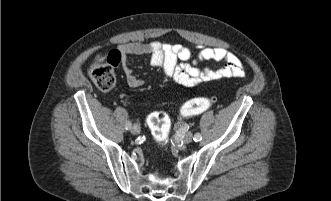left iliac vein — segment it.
Masks as SVG:
<instances>
[{"label": "left iliac vein", "instance_id": "1", "mask_svg": "<svg viewBox=\"0 0 331 201\" xmlns=\"http://www.w3.org/2000/svg\"><path fill=\"white\" fill-rule=\"evenodd\" d=\"M192 139H193V135H192L191 132H187V133H185L184 136H183V141H184L185 143H190V142L192 141Z\"/></svg>", "mask_w": 331, "mask_h": 201}]
</instances>
